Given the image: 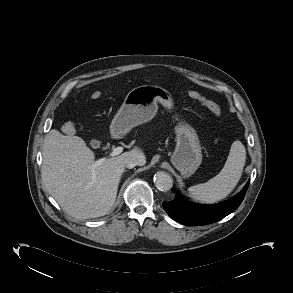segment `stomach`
<instances>
[{"label":"stomach","instance_id":"1","mask_svg":"<svg viewBox=\"0 0 293 293\" xmlns=\"http://www.w3.org/2000/svg\"><path fill=\"white\" fill-rule=\"evenodd\" d=\"M158 102L167 109L174 107L171 93L163 87L142 85L133 88L112 120L111 135L119 138L133 127L151 120L158 110ZM175 135L176 146L171 162L184 177H189L202 162L200 141L195 129L184 121L178 122Z\"/></svg>","mask_w":293,"mask_h":293}]
</instances>
